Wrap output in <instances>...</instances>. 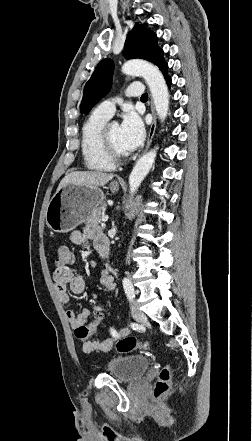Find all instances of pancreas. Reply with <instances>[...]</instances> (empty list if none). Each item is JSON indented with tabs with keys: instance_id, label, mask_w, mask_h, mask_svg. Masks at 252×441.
<instances>
[{
	"instance_id": "pancreas-1",
	"label": "pancreas",
	"mask_w": 252,
	"mask_h": 441,
	"mask_svg": "<svg viewBox=\"0 0 252 441\" xmlns=\"http://www.w3.org/2000/svg\"><path fill=\"white\" fill-rule=\"evenodd\" d=\"M106 205L101 204L99 207L93 210L91 215L86 219L88 224H99L101 222V216L104 214Z\"/></svg>"
}]
</instances>
